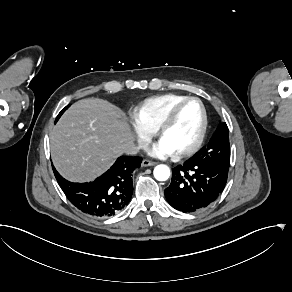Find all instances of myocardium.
Here are the masks:
<instances>
[{"label": "myocardium", "instance_id": "f54148a6", "mask_svg": "<svg viewBox=\"0 0 292 292\" xmlns=\"http://www.w3.org/2000/svg\"><path fill=\"white\" fill-rule=\"evenodd\" d=\"M188 102H196L199 105L200 108V123H199V128L196 133V136L194 140L189 144L187 147L178 149L176 152L180 155H189L194 153L199 146L201 145L205 131H206V125H207V114H206V109L204 107V104L199 98L196 97H186L175 104H173L168 111L165 113L163 116L158 128H157V133L158 135L163 138V135L168 128V126L171 124V122L174 120L175 116L177 115L178 111L182 108V106Z\"/></svg>", "mask_w": 292, "mask_h": 292}]
</instances>
